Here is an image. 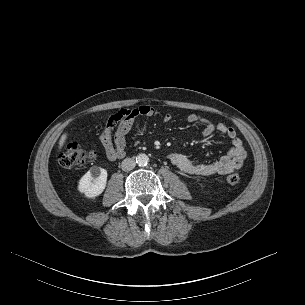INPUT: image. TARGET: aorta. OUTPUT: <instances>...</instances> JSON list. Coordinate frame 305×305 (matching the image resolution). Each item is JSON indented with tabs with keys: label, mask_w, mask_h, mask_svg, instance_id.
Wrapping results in <instances>:
<instances>
[{
	"label": "aorta",
	"mask_w": 305,
	"mask_h": 305,
	"mask_svg": "<svg viewBox=\"0 0 305 305\" xmlns=\"http://www.w3.org/2000/svg\"><path fill=\"white\" fill-rule=\"evenodd\" d=\"M149 162V157L144 154V153H140L136 156V163L139 166H146Z\"/></svg>",
	"instance_id": "aorta-1"
}]
</instances>
